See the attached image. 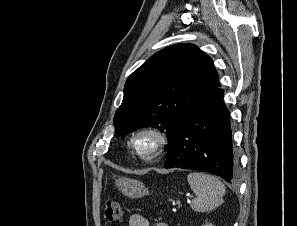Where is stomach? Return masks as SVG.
Here are the masks:
<instances>
[{
  "instance_id": "stomach-1",
  "label": "stomach",
  "mask_w": 297,
  "mask_h": 226,
  "mask_svg": "<svg viewBox=\"0 0 297 226\" xmlns=\"http://www.w3.org/2000/svg\"><path fill=\"white\" fill-rule=\"evenodd\" d=\"M116 184L121 190V192L132 198H139L148 194V188L137 180L130 178H119L116 180Z\"/></svg>"
}]
</instances>
